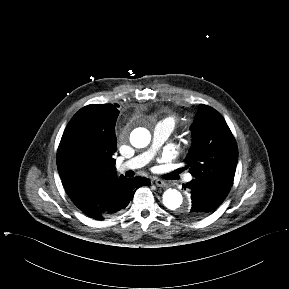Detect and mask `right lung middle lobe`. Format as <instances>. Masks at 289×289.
I'll return each instance as SVG.
<instances>
[{
  "label": "right lung middle lobe",
  "mask_w": 289,
  "mask_h": 289,
  "mask_svg": "<svg viewBox=\"0 0 289 289\" xmlns=\"http://www.w3.org/2000/svg\"><path fill=\"white\" fill-rule=\"evenodd\" d=\"M115 106L93 104L80 109L67 125L72 147L85 152H102L116 144L115 123L119 111Z\"/></svg>",
  "instance_id": "1"
}]
</instances>
